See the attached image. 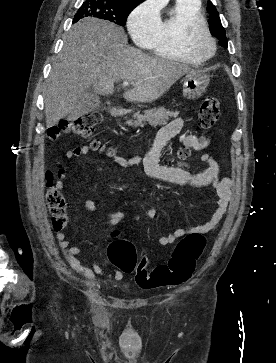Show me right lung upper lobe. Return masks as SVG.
Wrapping results in <instances>:
<instances>
[{
    "mask_svg": "<svg viewBox=\"0 0 276 363\" xmlns=\"http://www.w3.org/2000/svg\"><path fill=\"white\" fill-rule=\"evenodd\" d=\"M113 1H120V2L136 3V4H138L139 2H141L143 0H113Z\"/></svg>",
    "mask_w": 276,
    "mask_h": 363,
    "instance_id": "obj_1",
    "label": "right lung upper lobe"
}]
</instances>
